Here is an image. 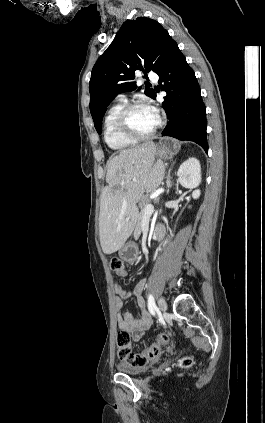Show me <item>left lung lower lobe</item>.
Returning a JSON list of instances; mask_svg holds the SVG:
<instances>
[{
	"label": "left lung lower lobe",
	"mask_w": 265,
	"mask_h": 423,
	"mask_svg": "<svg viewBox=\"0 0 265 423\" xmlns=\"http://www.w3.org/2000/svg\"><path fill=\"white\" fill-rule=\"evenodd\" d=\"M161 90L166 91L163 106L169 119L162 136L194 141L206 152V111L200 87L191 67L171 38L162 65L156 72ZM156 93L153 97L155 99Z\"/></svg>",
	"instance_id": "obj_1"
}]
</instances>
